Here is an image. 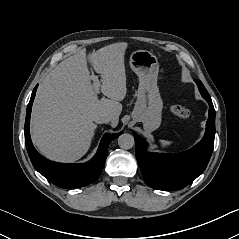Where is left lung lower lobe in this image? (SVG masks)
<instances>
[{
	"mask_svg": "<svg viewBox=\"0 0 239 239\" xmlns=\"http://www.w3.org/2000/svg\"><path fill=\"white\" fill-rule=\"evenodd\" d=\"M202 97L209 104V116L203 139L193 148L179 154L151 153L146 141L133 133L135 153L145 182L151 188L176 191L193 182L207 167L215 137V110L210 95L200 80H195Z\"/></svg>",
	"mask_w": 239,
	"mask_h": 239,
	"instance_id": "left-lung-lower-lobe-1",
	"label": "left lung lower lobe"
}]
</instances>
